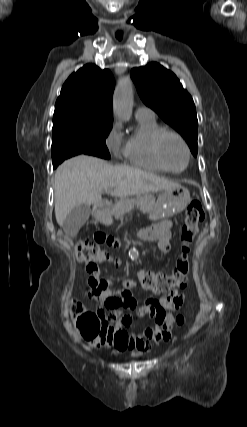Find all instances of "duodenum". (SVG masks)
I'll return each instance as SVG.
<instances>
[{"label": "duodenum", "mask_w": 247, "mask_h": 427, "mask_svg": "<svg viewBox=\"0 0 247 427\" xmlns=\"http://www.w3.org/2000/svg\"><path fill=\"white\" fill-rule=\"evenodd\" d=\"M110 205L107 201H100L94 206V215L97 218H102L109 210Z\"/></svg>", "instance_id": "1"}]
</instances>
